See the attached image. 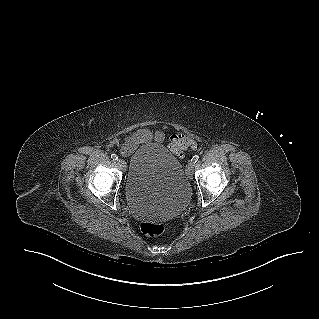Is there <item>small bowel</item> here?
Listing matches in <instances>:
<instances>
[{
  "label": "small bowel",
  "mask_w": 319,
  "mask_h": 319,
  "mask_svg": "<svg viewBox=\"0 0 319 319\" xmlns=\"http://www.w3.org/2000/svg\"><path fill=\"white\" fill-rule=\"evenodd\" d=\"M164 139L165 134L162 130H150L147 128L139 129L124 139L120 146V152L122 155L128 156L132 154L140 145L151 141L163 142Z\"/></svg>",
  "instance_id": "1"
}]
</instances>
